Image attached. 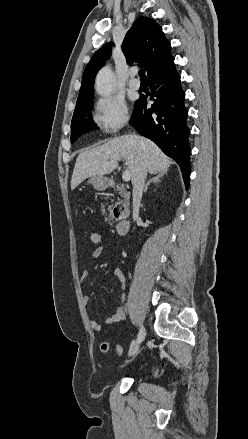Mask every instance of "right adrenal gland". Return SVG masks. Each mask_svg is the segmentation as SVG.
I'll return each mask as SVG.
<instances>
[{"mask_svg": "<svg viewBox=\"0 0 248 439\" xmlns=\"http://www.w3.org/2000/svg\"><path fill=\"white\" fill-rule=\"evenodd\" d=\"M166 174V172H160L158 173L155 177H153L152 179H150L144 186V192L146 193L148 190V186L151 182L153 183H158L160 182V178H162L164 175Z\"/></svg>", "mask_w": 248, "mask_h": 439, "instance_id": "right-adrenal-gland-1", "label": "right adrenal gland"}]
</instances>
